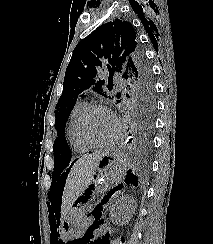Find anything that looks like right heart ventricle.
<instances>
[{
	"label": "right heart ventricle",
	"mask_w": 213,
	"mask_h": 244,
	"mask_svg": "<svg viewBox=\"0 0 213 244\" xmlns=\"http://www.w3.org/2000/svg\"><path fill=\"white\" fill-rule=\"evenodd\" d=\"M88 104L85 101H79L75 104L70 112L67 124H66V138L71 149L77 153H86L92 149L91 146L86 144L80 138L77 130V124L82 112Z\"/></svg>",
	"instance_id": "e07e8e85"
}]
</instances>
